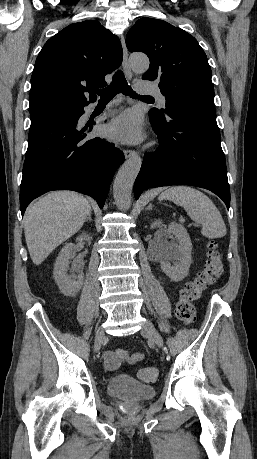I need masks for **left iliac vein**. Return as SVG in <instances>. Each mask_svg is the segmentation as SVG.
Returning <instances> with one entry per match:
<instances>
[{
    "label": "left iliac vein",
    "mask_w": 257,
    "mask_h": 459,
    "mask_svg": "<svg viewBox=\"0 0 257 459\" xmlns=\"http://www.w3.org/2000/svg\"><path fill=\"white\" fill-rule=\"evenodd\" d=\"M141 333L145 336H147L152 342H154L158 347L162 348L163 347V339L161 335L158 333V331L155 329L153 324L149 321L146 320L144 323Z\"/></svg>",
    "instance_id": "left-iliac-vein-1"
}]
</instances>
